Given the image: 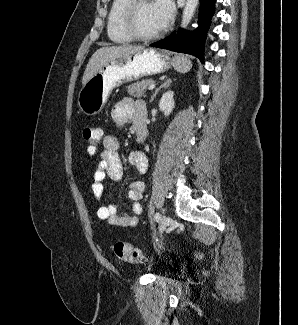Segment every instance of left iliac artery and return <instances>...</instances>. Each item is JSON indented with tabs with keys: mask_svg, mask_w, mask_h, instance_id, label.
Masks as SVG:
<instances>
[{
	"mask_svg": "<svg viewBox=\"0 0 298 325\" xmlns=\"http://www.w3.org/2000/svg\"><path fill=\"white\" fill-rule=\"evenodd\" d=\"M154 217H155L156 222H158L161 218V215L159 212H156Z\"/></svg>",
	"mask_w": 298,
	"mask_h": 325,
	"instance_id": "obj_1",
	"label": "left iliac artery"
}]
</instances>
